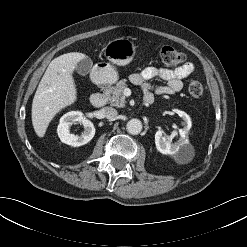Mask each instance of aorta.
Segmentation results:
<instances>
[{
	"label": "aorta",
	"mask_w": 247,
	"mask_h": 247,
	"mask_svg": "<svg viewBox=\"0 0 247 247\" xmlns=\"http://www.w3.org/2000/svg\"><path fill=\"white\" fill-rule=\"evenodd\" d=\"M127 131L132 135H137L142 130V122L139 119H131L126 124Z\"/></svg>",
	"instance_id": "aorta-1"
}]
</instances>
